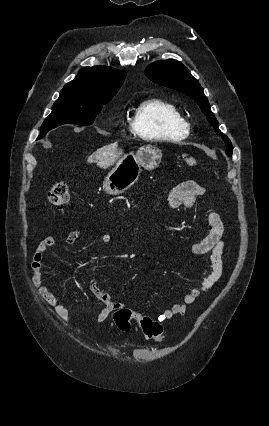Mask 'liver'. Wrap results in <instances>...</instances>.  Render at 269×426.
Listing matches in <instances>:
<instances>
[{"label":"liver","mask_w":269,"mask_h":426,"mask_svg":"<svg viewBox=\"0 0 269 426\" xmlns=\"http://www.w3.org/2000/svg\"><path fill=\"white\" fill-rule=\"evenodd\" d=\"M124 156L123 150L114 143L99 148L87 158V162L96 163L100 168L107 169L115 163L117 164Z\"/></svg>","instance_id":"liver-1"}]
</instances>
